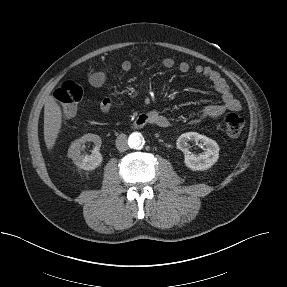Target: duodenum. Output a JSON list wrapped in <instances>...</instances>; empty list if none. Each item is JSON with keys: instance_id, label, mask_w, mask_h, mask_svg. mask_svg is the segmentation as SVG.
<instances>
[{"instance_id": "1", "label": "duodenum", "mask_w": 287, "mask_h": 287, "mask_svg": "<svg viewBox=\"0 0 287 287\" xmlns=\"http://www.w3.org/2000/svg\"><path fill=\"white\" fill-rule=\"evenodd\" d=\"M149 123H152L151 118L147 114H142L136 118V120L133 123V127L142 128Z\"/></svg>"}]
</instances>
